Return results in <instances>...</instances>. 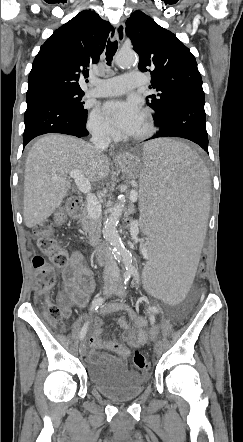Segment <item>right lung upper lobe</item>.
I'll list each match as a JSON object with an SVG mask.
<instances>
[{"mask_svg":"<svg viewBox=\"0 0 243 442\" xmlns=\"http://www.w3.org/2000/svg\"><path fill=\"white\" fill-rule=\"evenodd\" d=\"M111 31L113 35L110 23L91 10L56 29L34 59L27 95L55 89L82 91L79 80L87 78L88 67L99 61Z\"/></svg>","mask_w":243,"mask_h":442,"instance_id":"obj_1","label":"right lung upper lobe"}]
</instances>
